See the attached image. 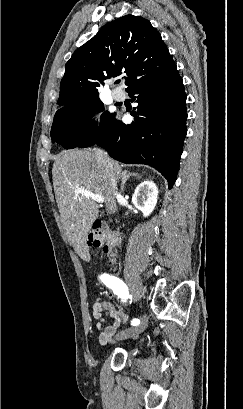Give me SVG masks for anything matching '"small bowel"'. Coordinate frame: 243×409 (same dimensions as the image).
Segmentation results:
<instances>
[{
    "label": "small bowel",
    "mask_w": 243,
    "mask_h": 409,
    "mask_svg": "<svg viewBox=\"0 0 243 409\" xmlns=\"http://www.w3.org/2000/svg\"><path fill=\"white\" fill-rule=\"evenodd\" d=\"M104 315L112 320L111 324L104 326ZM93 316L98 320L96 327L99 330V342L103 346L113 342L119 326L128 320V315L123 309L102 298L95 301Z\"/></svg>",
    "instance_id": "1"
}]
</instances>
